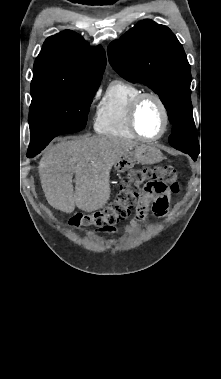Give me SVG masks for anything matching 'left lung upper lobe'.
<instances>
[{"mask_svg": "<svg viewBox=\"0 0 221 379\" xmlns=\"http://www.w3.org/2000/svg\"><path fill=\"white\" fill-rule=\"evenodd\" d=\"M107 51L119 75L159 95L172 124L169 143L196 160L199 142L192 115L190 65L172 31L144 20L113 41Z\"/></svg>", "mask_w": 221, "mask_h": 379, "instance_id": "5c2ea615", "label": "left lung upper lobe"}]
</instances>
